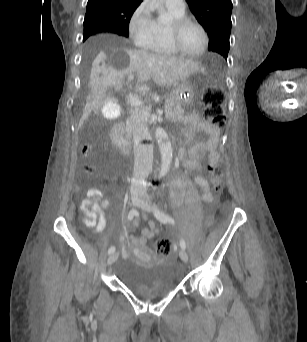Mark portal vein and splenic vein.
I'll use <instances>...</instances> for the list:
<instances>
[{
	"mask_svg": "<svg viewBox=\"0 0 307 342\" xmlns=\"http://www.w3.org/2000/svg\"><path fill=\"white\" fill-rule=\"evenodd\" d=\"M130 80H134L133 74H130L128 76L127 80L124 81V84L122 85L123 89L127 88V85L129 84ZM127 100L129 101L130 105H135L137 109H142L143 108V103L139 101V96L138 94H132L130 91L127 93Z\"/></svg>",
	"mask_w": 307,
	"mask_h": 342,
	"instance_id": "18ae733b",
	"label": "portal vein and splenic vein"
}]
</instances>
